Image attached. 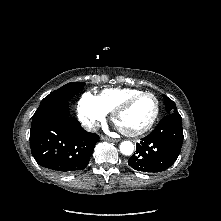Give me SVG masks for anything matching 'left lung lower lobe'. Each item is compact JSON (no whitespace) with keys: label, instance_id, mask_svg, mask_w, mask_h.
Listing matches in <instances>:
<instances>
[{"label":"left lung lower lobe","instance_id":"obj_1","mask_svg":"<svg viewBox=\"0 0 221 221\" xmlns=\"http://www.w3.org/2000/svg\"><path fill=\"white\" fill-rule=\"evenodd\" d=\"M179 113H169L146 137L136 145V153L128 160L129 166L143 172H160L169 168L177 159L183 130Z\"/></svg>","mask_w":221,"mask_h":221}]
</instances>
